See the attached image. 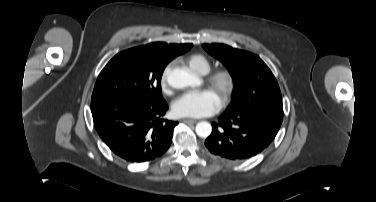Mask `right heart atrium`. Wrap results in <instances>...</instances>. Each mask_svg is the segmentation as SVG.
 Wrapping results in <instances>:
<instances>
[{"label":"right heart atrium","instance_id":"right-heart-atrium-1","mask_svg":"<svg viewBox=\"0 0 376 202\" xmlns=\"http://www.w3.org/2000/svg\"><path fill=\"white\" fill-rule=\"evenodd\" d=\"M171 68H172L171 64L166 66L165 69L163 70L162 74H161L160 85H161V88L164 92L169 91L168 77H169V72H170Z\"/></svg>","mask_w":376,"mask_h":202}]
</instances>
